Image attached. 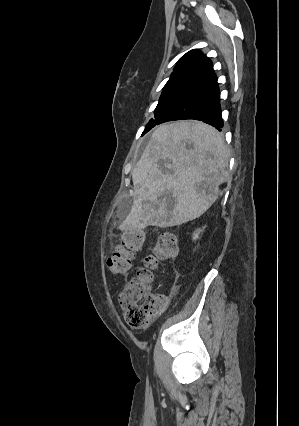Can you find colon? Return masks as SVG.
Wrapping results in <instances>:
<instances>
[{"label":"colon","mask_w":299,"mask_h":426,"mask_svg":"<svg viewBox=\"0 0 299 426\" xmlns=\"http://www.w3.org/2000/svg\"><path fill=\"white\" fill-rule=\"evenodd\" d=\"M144 241L145 232L141 229L123 232L114 252L106 260L111 273L126 274L134 255L142 249ZM177 252L178 244L175 236L171 233L161 234L153 246L152 254L145 258L143 267L120 292L119 303L126 322L132 328H144L153 316L164 309L167 303L166 296L154 295L151 292L153 272L159 261L172 259Z\"/></svg>","instance_id":"colon-1"}]
</instances>
